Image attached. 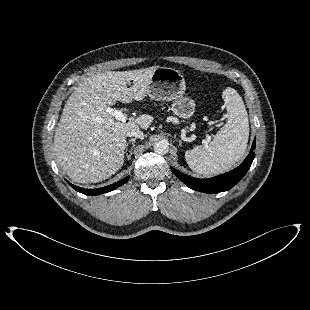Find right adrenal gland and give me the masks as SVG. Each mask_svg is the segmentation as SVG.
Wrapping results in <instances>:
<instances>
[{
	"label": "right adrenal gland",
	"mask_w": 310,
	"mask_h": 310,
	"mask_svg": "<svg viewBox=\"0 0 310 310\" xmlns=\"http://www.w3.org/2000/svg\"><path fill=\"white\" fill-rule=\"evenodd\" d=\"M135 141H136V138H132V139H130L129 142L126 144V149H125L126 152H127V149H128L129 144H132V147H131V149H130V151H129V154L126 153L127 159H128V160H130V158H131L132 150H133V148H134V146H135Z\"/></svg>",
	"instance_id": "2a0ac1e0"
}]
</instances>
